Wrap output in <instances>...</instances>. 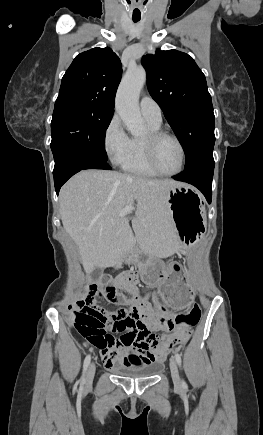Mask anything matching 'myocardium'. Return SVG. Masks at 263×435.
Returning <instances> with one entry per match:
<instances>
[{
	"label": "myocardium",
	"instance_id": "1",
	"mask_svg": "<svg viewBox=\"0 0 263 435\" xmlns=\"http://www.w3.org/2000/svg\"><path fill=\"white\" fill-rule=\"evenodd\" d=\"M164 138H169V139H172L173 141H175L181 150V154H182L181 166L178 170H176L174 172L163 171L158 166L157 161H156L157 144L159 143L160 140H162ZM144 146H145L147 162H148L149 166L151 167V169L155 173H157L158 175L175 176L184 170L185 165H186V161H187V153H186V149H185L184 144L175 134L161 130V129L150 131L147 134V136L144 138Z\"/></svg>",
	"mask_w": 263,
	"mask_h": 435
}]
</instances>
